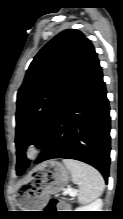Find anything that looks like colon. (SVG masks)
I'll use <instances>...</instances> for the list:
<instances>
[{"label": "colon", "mask_w": 123, "mask_h": 219, "mask_svg": "<svg viewBox=\"0 0 123 219\" xmlns=\"http://www.w3.org/2000/svg\"><path fill=\"white\" fill-rule=\"evenodd\" d=\"M49 210H63L67 211L70 209V205L56 198H51L47 204Z\"/></svg>", "instance_id": "1"}]
</instances>
